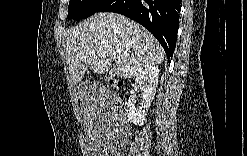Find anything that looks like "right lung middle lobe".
Returning <instances> with one entry per match:
<instances>
[{"label": "right lung middle lobe", "mask_w": 247, "mask_h": 156, "mask_svg": "<svg viewBox=\"0 0 247 156\" xmlns=\"http://www.w3.org/2000/svg\"><path fill=\"white\" fill-rule=\"evenodd\" d=\"M107 0H70L68 19L79 20L98 12Z\"/></svg>", "instance_id": "obj_1"}]
</instances>
